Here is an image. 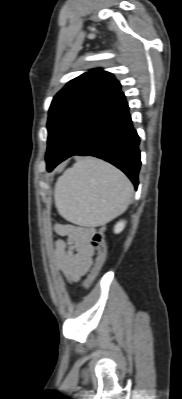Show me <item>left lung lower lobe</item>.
Returning a JSON list of instances; mask_svg holds the SVG:
<instances>
[{
    "label": "left lung lower lobe",
    "instance_id": "left-lung-lower-lobe-1",
    "mask_svg": "<svg viewBox=\"0 0 182 399\" xmlns=\"http://www.w3.org/2000/svg\"><path fill=\"white\" fill-rule=\"evenodd\" d=\"M138 145L128 104L120 92L85 119L62 153L47 163V170L73 155L95 156L121 169L137 189L141 165Z\"/></svg>",
    "mask_w": 182,
    "mask_h": 399
}]
</instances>
